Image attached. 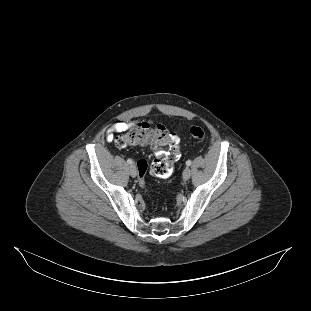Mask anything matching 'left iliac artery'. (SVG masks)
Here are the masks:
<instances>
[{"instance_id":"obj_1","label":"left iliac artery","mask_w":311,"mask_h":311,"mask_svg":"<svg viewBox=\"0 0 311 311\" xmlns=\"http://www.w3.org/2000/svg\"><path fill=\"white\" fill-rule=\"evenodd\" d=\"M191 164H192L191 160H187V161H186V165H187V166H190Z\"/></svg>"}]
</instances>
